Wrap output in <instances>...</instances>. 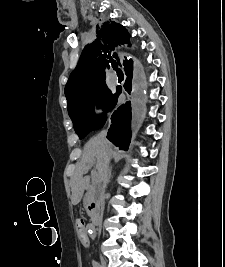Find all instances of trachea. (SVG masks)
I'll return each instance as SVG.
<instances>
[{
    "mask_svg": "<svg viewBox=\"0 0 225 267\" xmlns=\"http://www.w3.org/2000/svg\"><path fill=\"white\" fill-rule=\"evenodd\" d=\"M112 67L117 72V74H123L122 71H121V69L118 68L117 63H112Z\"/></svg>",
    "mask_w": 225,
    "mask_h": 267,
    "instance_id": "1",
    "label": "trachea"
}]
</instances>
